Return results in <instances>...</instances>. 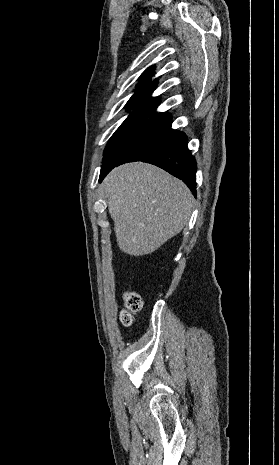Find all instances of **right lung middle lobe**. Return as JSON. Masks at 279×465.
I'll return each instance as SVG.
<instances>
[{
    "mask_svg": "<svg viewBox=\"0 0 279 465\" xmlns=\"http://www.w3.org/2000/svg\"><path fill=\"white\" fill-rule=\"evenodd\" d=\"M179 131L155 124H123L109 140L104 151L102 167L126 162L143 161L173 146Z\"/></svg>",
    "mask_w": 279,
    "mask_h": 465,
    "instance_id": "obj_1",
    "label": "right lung middle lobe"
}]
</instances>
